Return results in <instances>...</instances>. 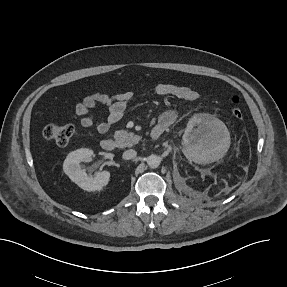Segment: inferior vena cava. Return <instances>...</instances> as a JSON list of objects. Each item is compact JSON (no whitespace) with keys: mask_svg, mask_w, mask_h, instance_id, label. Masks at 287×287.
Listing matches in <instances>:
<instances>
[{"mask_svg":"<svg viewBox=\"0 0 287 287\" xmlns=\"http://www.w3.org/2000/svg\"><path fill=\"white\" fill-rule=\"evenodd\" d=\"M137 155V152L133 149H129V150H126L124 153H123V159L125 160H130V159H133L135 158Z\"/></svg>","mask_w":287,"mask_h":287,"instance_id":"1","label":"inferior vena cava"}]
</instances>
